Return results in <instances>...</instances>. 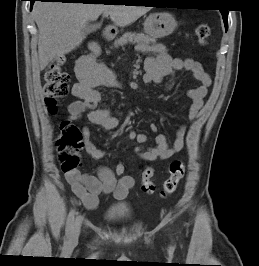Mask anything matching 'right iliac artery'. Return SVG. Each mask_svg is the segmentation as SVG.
Listing matches in <instances>:
<instances>
[{"mask_svg":"<svg viewBox=\"0 0 259 266\" xmlns=\"http://www.w3.org/2000/svg\"><path fill=\"white\" fill-rule=\"evenodd\" d=\"M74 217H75V210L72 209L68 215L67 222H66V232H65V239L68 242L71 237V232L73 228V223H74Z\"/></svg>","mask_w":259,"mask_h":266,"instance_id":"obj_1","label":"right iliac artery"}]
</instances>
